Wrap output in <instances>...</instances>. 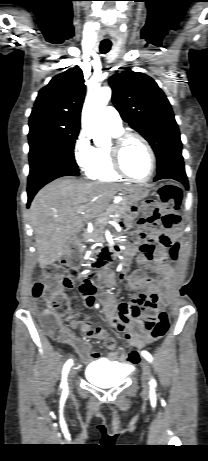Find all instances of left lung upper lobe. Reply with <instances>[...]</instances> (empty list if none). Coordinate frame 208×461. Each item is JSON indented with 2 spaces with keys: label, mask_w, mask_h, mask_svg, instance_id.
Masks as SVG:
<instances>
[{
  "label": "left lung upper lobe",
  "mask_w": 208,
  "mask_h": 461,
  "mask_svg": "<svg viewBox=\"0 0 208 461\" xmlns=\"http://www.w3.org/2000/svg\"><path fill=\"white\" fill-rule=\"evenodd\" d=\"M113 103L124 121L151 145L158 171L183 159L182 142L171 105L148 75L127 70L110 77Z\"/></svg>",
  "instance_id": "left-lung-upper-lobe-1"
}]
</instances>
